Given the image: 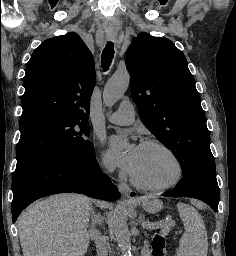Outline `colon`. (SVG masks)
<instances>
[{
	"instance_id": "colon-1",
	"label": "colon",
	"mask_w": 236,
	"mask_h": 256,
	"mask_svg": "<svg viewBox=\"0 0 236 256\" xmlns=\"http://www.w3.org/2000/svg\"><path fill=\"white\" fill-rule=\"evenodd\" d=\"M151 256H166V239L161 233H156L152 239Z\"/></svg>"
}]
</instances>
